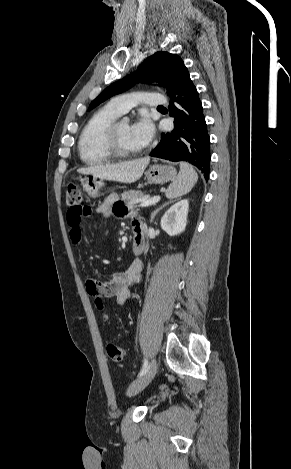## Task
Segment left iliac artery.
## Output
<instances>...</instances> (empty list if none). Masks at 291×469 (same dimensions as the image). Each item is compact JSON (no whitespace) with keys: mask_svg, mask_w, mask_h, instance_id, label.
Returning <instances> with one entry per match:
<instances>
[{"mask_svg":"<svg viewBox=\"0 0 291 469\" xmlns=\"http://www.w3.org/2000/svg\"><path fill=\"white\" fill-rule=\"evenodd\" d=\"M148 369V361L145 359L139 376H142Z\"/></svg>","mask_w":291,"mask_h":469,"instance_id":"obj_1","label":"left iliac artery"}]
</instances>
